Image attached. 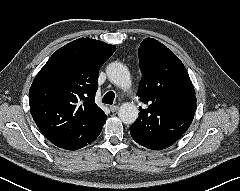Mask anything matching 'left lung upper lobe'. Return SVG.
I'll return each mask as SVG.
<instances>
[{"instance_id": "left-lung-upper-lobe-1", "label": "left lung upper lobe", "mask_w": 240, "mask_h": 191, "mask_svg": "<svg viewBox=\"0 0 240 191\" xmlns=\"http://www.w3.org/2000/svg\"><path fill=\"white\" fill-rule=\"evenodd\" d=\"M138 56L142 77L137 95L149 107H140L133 125L142 120L143 134L154 125L178 140L192 123L197 106L187 70L171 50L153 38L142 41Z\"/></svg>"}]
</instances>
